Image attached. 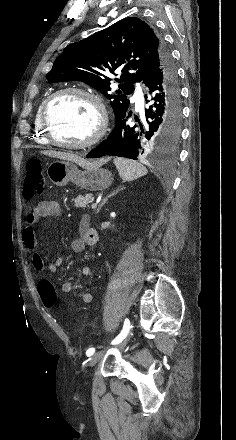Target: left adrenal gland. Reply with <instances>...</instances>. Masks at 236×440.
<instances>
[{
    "mask_svg": "<svg viewBox=\"0 0 236 440\" xmlns=\"http://www.w3.org/2000/svg\"><path fill=\"white\" fill-rule=\"evenodd\" d=\"M123 189H125V187L118 188L116 191H114L113 193L109 194L106 198H104L103 201H102V203L99 205V207H98V209H97V213H99L100 209L103 207V205L108 201V199H109L111 196L117 194L119 191H121V190H123Z\"/></svg>",
    "mask_w": 236,
    "mask_h": 440,
    "instance_id": "a2214340",
    "label": "left adrenal gland"
}]
</instances>
